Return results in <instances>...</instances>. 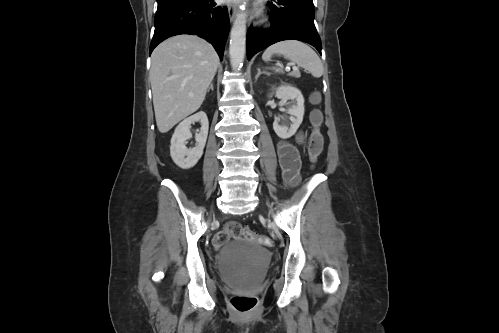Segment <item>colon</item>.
I'll return each instance as SVG.
<instances>
[{
  "instance_id": "1",
  "label": "colon",
  "mask_w": 499,
  "mask_h": 333,
  "mask_svg": "<svg viewBox=\"0 0 499 333\" xmlns=\"http://www.w3.org/2000/svg\"><path fill=\"white\" fill-rule=\"evenodd\" d=\"M311 100L314 104L319 103L320 97L317 93L313 94ZM310 122L312 130L308 143V158L312 165H315L323 149V136L321 125L323 115L320 110L315 109L311 112ZM232 238L246 239L257 244L271 245V239L266 235L254 233L249 227L241 225L238 222H229L213 238V246L216 249L223 247ZM231 305L239 313H250L257 305V298L252 295L235 294L230 299Z\"/></svg>"
}]
</instances>
